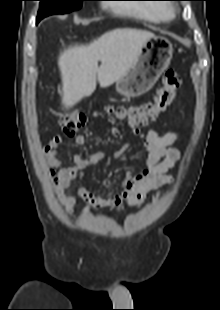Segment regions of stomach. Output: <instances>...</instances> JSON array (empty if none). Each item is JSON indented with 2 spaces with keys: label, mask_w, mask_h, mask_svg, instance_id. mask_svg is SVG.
I'll use <instances>...</instances> for the list:
<instances>
[{
  "label": "stomach",
  "mask_w": 220,
  "mask_h": 310,
  "mask_svg": "<svg viewBox=\"0 0 220 310\" xmlns=\"http://www.w3.org/2000/svg\"><path fill=\"white\" fill-rule=\"evenodd\" d=\"M172 54L168 39L161 36L149 39L130 69L116 81V91L125 97L145 94L168 68Z\"/></svg>",
  "instance_id": "1"
}]
</instances>
